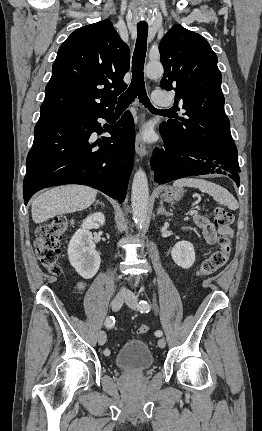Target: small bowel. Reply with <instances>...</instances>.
<instances>
[{"mask_svg":"<svg viewBox=\"0 0 262 431\" xmlns=\"http://www.w3.org/2000/svg\"><path fill=\"white\" fill-rule=\"evenodd\" d=\"M196 222L208 244L214 245L219 235H232L230 228H215L212 222L203 216H198Z\"/></svg>","mask_w":262,"mask_h":431,"instance_id":"1","label":"small bowel"}]
</instances>
